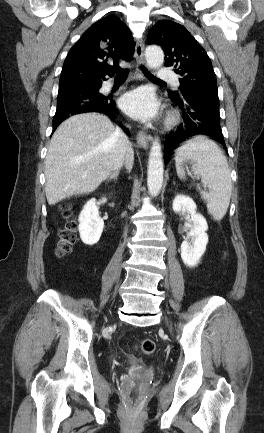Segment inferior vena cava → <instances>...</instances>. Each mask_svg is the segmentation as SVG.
Segmentation results:
<instances>
[{"label": "inferior vena cava", "mask_w": 264, "mask_h": 433, "mask_svg": "<svg viewBox=\"0 0 264 433\" xmlns=\"http://www.w3.org/2000/svg\"><path fill=\"white\" fill-rule=\"evenodd\" d=\"M114 136L117 140V159L114 165V169L118 170L123 164H126L127 153L130 150V142L128 141L127 135L120 129L116 128Z\"/></svg>", "instance_id": "obj_1"}]
</instances>
